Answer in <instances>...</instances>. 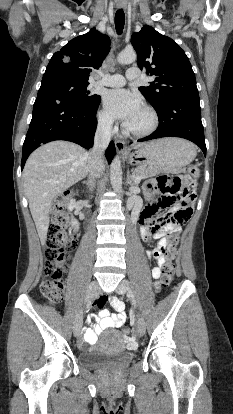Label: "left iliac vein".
<instances>
[{
  "instance_id": "4c4485c4",
  "label": "left iliac vein",
  "mask_w": 233,
  "mask_h": 414,
  "mask_svg": "<svg viewBox=\"0 0 233 414\" xmlns=\"http://www.w3.org/2000/svg\"><path fill=\"white\" fill-rule=\"evenodd\" d=\"M128 288H129V283L126 280H122L119 283L116 292L118 294H125ZM137 332L140 336L145 334V322L141 315H138V319H137Z\"/></svg>"
}]
</instances>
